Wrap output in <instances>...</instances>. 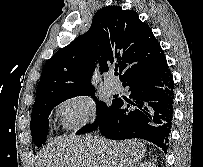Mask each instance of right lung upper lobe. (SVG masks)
Here are the masks:
<instances>
[{"label": "right lung upper lobe", "instance_id": "1", "mask_svg": "<svg viewBox=\"0 0 203 167\" xmlns=\"http://www.w3.org/2000/svg\"><path fill=\"white\" fill-rule=\"evenodd\" d=\"M101 73L119 68L120 80L159 66L165 57L150 27L135 11L108 6L96 12L88 32L56 52L44 65L33 108L43 102L95 91V61Z\"/></svg>", "mask_w": 203, "mask_h": 167}]
</instances>
